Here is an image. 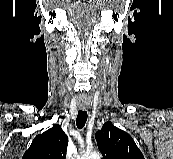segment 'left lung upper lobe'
<instances>
[{"label":"left lung upper lobe","mask_w":173,"mask_h":159,"mask_svg":"<svg viewBox=\"0 0 173 159\" xmlns=\"http://www.w3.org/2000/svg\"><path fill=\"white\" fill-rule=\"evenodd\" d=\"M102 159H144L133 138L110 121L95 134Z\"/></svg>","instance_id":"1"}]
</instances>
